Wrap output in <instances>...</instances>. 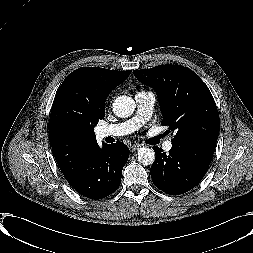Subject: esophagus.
I'll use <instances>...</instances> for the list:
<instances>
[{
	"mask_svg": "<svg viewBox=\"0 0 253 253\" xmlns=\"http://www.w3.org/2000/svg\"><path fill=\"white\" fill-rule=\"evenodd\" d=\"M139 147H140L139 144H132V145L130 146V151H131V152H135L136 150L139 149Z\"/></svg>",
	"mask_w": 253,
	"mask_h": 253,
	"instance_id": "1",
	"label": "esophagus"
}]
</instances>
